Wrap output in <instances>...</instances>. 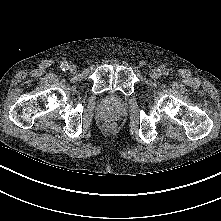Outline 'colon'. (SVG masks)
Returning a JSON list of instances; mask_svg holds the SVG:
<instances>
[{"mask_svg": "<svg viewBox=\"0 0 221 221\" xmlns=\"http://www.w3.org/2000/svg\"><path fill=\"white\" fill-rule=\"evenodd\" d=\"M106 127L108 129H112L114 127V123L112 121H109L107 124H106Z\"/></svg>", "mask_w": 221, "mask_h": 221, "instance_id": "5ec220e1", "label": "colon"}]
</instances>
